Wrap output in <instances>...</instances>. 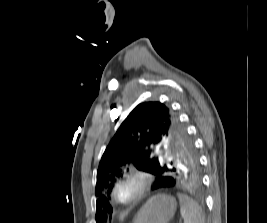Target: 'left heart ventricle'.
Listing matches in <instances>:
<instances>
[{
	"label": "left heart ventricle",
	"mask_w": 267,
	"mask_h": 223,
	"mask_svg": "<svg viewBox=\"0 0 267 223\" xmlns=\"http://www.w3.org/2000/svg\"><path fill=\"white\" fill-rule=\"evenodd\" d=\"M136 190V187L134 184L128 183V184H124L120 189H119V196L121 198H127L129 196H131Z\"/></svg>",
	"instance_id": "1"
}]
</instances>
